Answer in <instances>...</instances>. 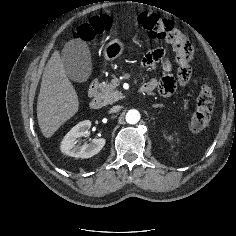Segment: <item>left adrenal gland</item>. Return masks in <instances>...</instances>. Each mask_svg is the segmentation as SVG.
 <instances>
[{
	"mask_svg": "<svg viewBox=\"0 0 236 236\" xmlns=\"http://www.w3.org/2000/svg\"><path fill=\"white\" fill-rule=\"evenodd\" d=\"M154 107H156V108H157V107H162V105L157 104V105H154Z\"/></svg>",
	"mask_w": 236,
	"mask_h": 236,
	"instance_id": "obj_1",
	"label": "left adrenal gland"
}]
</instances>
